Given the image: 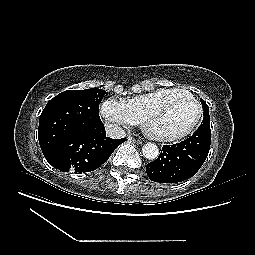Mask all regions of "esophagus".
Returning <instances> with one entry per match:
<instances>
[{
  "label": "esophagus",
  "instance_id": "esophagus-1",
  "mask_svg": "<svg viewBox=\"0 0 255 255\" xmlns=\"http://www.w3.org/2000/svg\"><path fill=\"white\" fill-rule=\"evenodd\" d=\"M129 141L135 144H142V141L133 137H128Z\"/></svg>",
  "mask_w": 255,
  "mask_h": 255
}]
</instances>
